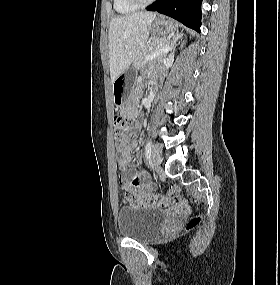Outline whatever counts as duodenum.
Instances as JSON below:
<instances>
[{
  "label": "duodenum",
  "instance_id": "duodenum-1",
  "mask_svg": "<svg viewBox=\"0 0 280 285\" xmlns=\"http://www.w3.org/2000/svg\"><path fill=\"white\" fill-rule=\"evenodd\" d=\"M152 91H153V99H154V101H156L160 96V87H159L158 83H156V82L153 83Z\"/></svg>",
  "mask_w": 280,
  "mask_h": 285
}]
</instances>
